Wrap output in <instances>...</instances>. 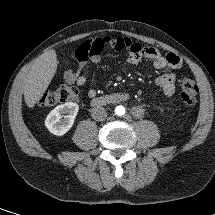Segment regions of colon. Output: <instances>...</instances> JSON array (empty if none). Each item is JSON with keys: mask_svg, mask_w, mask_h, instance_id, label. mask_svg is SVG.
I'll return each instance as SVG.
<instances>
[{"mask_svg": "<svg viewBox=\"0 0 215 215\" xmlns=\"http://www.w3.org/2000/svg\"><path fill=\"white\" fill-rule=\"evenodd\" d=\"M181 101L185 106L195 104L199 90L191 76H186L181 84ZM78 98V90L70 86H61L55 90L46 91L38 104L42 107H52L62 103L74 102Z\"/></svg>", "mask_w": 215, "mask_h": 215, "instance_id": "5ec220e1", "label": "colon"}]
</instances>
